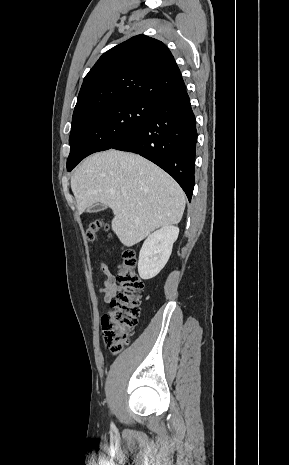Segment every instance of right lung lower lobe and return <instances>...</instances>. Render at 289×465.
Wrapping results in <instances>:
<instances>
[{
  "instance_id": "98d812e1",
  "label": "right lung lower lobe",
  "mask_w": 289,
  "mask_h": 465,
  "mask_svg": "<svg viewBox=\"0 0 289 465\" xmlns=\"http://www.w3.org/2000/svg\"><path fill=\"white\" fill-rule=\"evenodd\" d=\"M196 120L186 90L159 98L154 112L113 149L139 154L169 173L189 201L194 189Z\"/></svg>"
}]
</instances>
